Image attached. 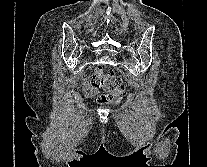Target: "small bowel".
<instances>
[{
	"label": "small bowel",
	"instance_id": "c3829d8e",
	"mask_svg": "<svg viewBox=\"0 0 207 167\" xmlns=\"http://www.w3.org/2000/svg\"><path fill=\"white\" fill-rule=\"evenodd\" d=\"M82 89L84 90L86 97H91L95 93V89L88 83H82Z\"/></svg>",
	"mask_w": 207,
	"mask_h": 167
}]
</instances>
